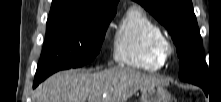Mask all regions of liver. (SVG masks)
Returning <instances> with one entry per match:
<instances>
[{
    "label": "liver",
    "mask_w": 221,
    "mask_h": 102,
    "mask_svg": "<svg viewBox=\"0 0 221 102\" xmlns=\"http://www.w3.org/2000/svg\"><path fill=\"white\" fill-rule=\"evenodd\" d=\"M162 80L129 67L97 73L62 71L49 77L36 91L37 102H127L139 89ZM87 100V101H86Z\"/></svg>",
    "instance_id": "1"
}]
</instances>
